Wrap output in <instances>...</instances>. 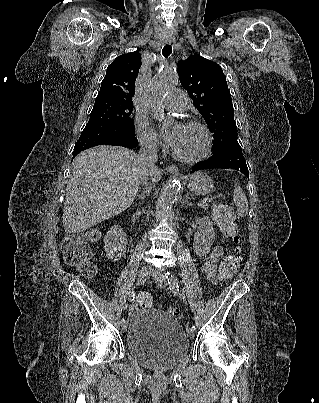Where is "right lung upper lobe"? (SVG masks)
I'll list each match as a JSON object with an SVG mask.
<instances>
[{"instance_id": "obj_1", "label": "right lung upper lobe", "mask_w": 319, "mask_h": 403, "mask_svg": "<svg viewBox=\"0 0 319 403\" xmlns=\"http://www.w3.org/2000/svg\"><path fill=\"white\" fill-rule=\"evenodd\" d=\"M141 55L131 52L117 57L107 68L95 102L131 104Z\"/></svg>"}]
</instances>
